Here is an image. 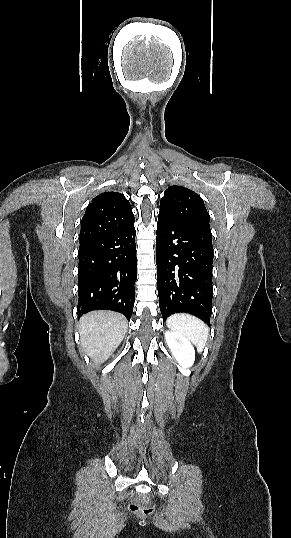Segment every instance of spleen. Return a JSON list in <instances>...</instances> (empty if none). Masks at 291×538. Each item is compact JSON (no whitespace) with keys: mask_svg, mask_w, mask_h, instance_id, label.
<instances>
[{"mask_svg":"<svg viewBox=\"0 0 291 538\" xmlns=\"http://www.w3.org/2000/svg\"><path fill=\"white\" fill-rule=\"evenodd\" d=\"M171 330L186 336L202 352L209 336L208 326L200 319L185 313H175L167 319Z\"/></svg>","mask_w":291,"mask_h":538,"instance_id":"spleen-1","label":"spleen"}]
</instances>
